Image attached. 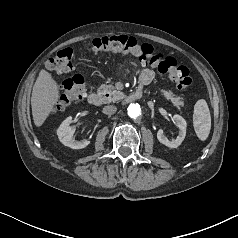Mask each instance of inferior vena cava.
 Returning a JSON list of instances; mask_svg holds the SVG:
<instances>
[{
  "mask_svg": "<svg viewBox=\"0 0 238 238\" xmlns=\"http://www.w3.org/2000/svg\"><path fill=\"white\" fill-rule=\"evenodd\" d=\"M116 111H117V108L114 105H107V106H104L103 108V113L106 115H112L116 113Z\"/></svg>",
  "mask_w": 238,
  "mask_h": 238,
  "instance_id": "1",
  "label": "inferior vena cava"
}]
</instances>
